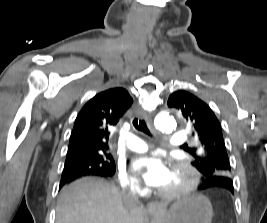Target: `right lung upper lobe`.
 <instances>
[{"label": "right lung upper lobe", "instance_id": "cb5924a9", "mask_svg": "<svg viewBox=\"0 0 267 223\" xmlns=\"http://www.w3.org/2000/svg\"><path fill=\"white\" fill-rule=\"evenodd\" d=\"M133 100L124 88L97 94L77 115L67 156L83 155L86 150L109 152L110 129L117 125Z\"/></svg>", "mask_w": 267, "mask_h": 223}]
</instances>
